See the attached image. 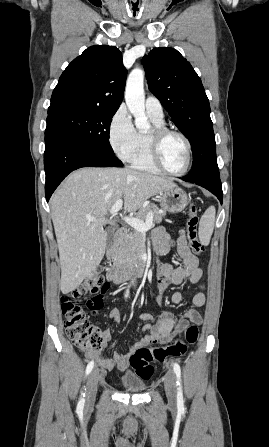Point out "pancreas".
<instances>
[{"instance_id": "1", "label": "pancreas", "mask_w": 269, "mask_h": 447, "mask_svg": "<svg viewBox=\"0 0 269 447\" xmlns=\"http://www.w3.org/2000/svg\"><path fill=\"white\" fill-rule=\"evenodd\" d=\"M159 210L160 208H158L156 204H148L146 208H141V210H139L138 214H136V218L145 222L148 212H153L154 224H160L162 218L166 216V212L163 210V214H159ZM142 241V231H138V229H133L130 233L122 235L120 239H117L114 245L113 261H115V263H126V261L127 263H136L140 255H142Z\"/></svg>"}]
</instances>
